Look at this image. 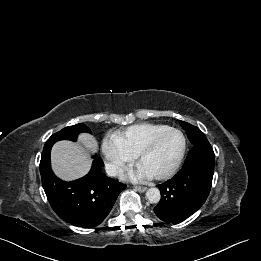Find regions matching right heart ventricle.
Returning <instances> with one entry per match:
<instances>
[{
    "label": "right heart ventricle",
    "instance_id": "obj_1",
    "mask_svg": "<svg viewBox=\"0 0 261 261\" xmlns=\"http://www.w3.org/2000/svg\"><path fill=\"white\" fill-rule=\"evenodd\" d=\"M167 127L169 126L164 124L139 123L116 132L113 136L131 156L136 157L155 134Z\"/></svg>",
    "mask_w": 261,
    "mask_h": 261
}]
</instances>
